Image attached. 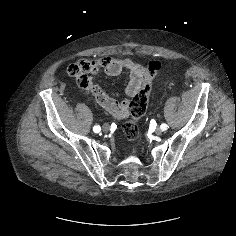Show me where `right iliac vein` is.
Returning <instances> with one entry per match:
<instances>
[{
	"mask_svg": "<svg viewBox=\"0 0 236 236\" xmlns=\"http://www.w3.org/2000/svg\"><path fill=\"white\" fill-rule=\"evenodd\" d=\"M102 129H103V131L108 132L110 130V125L105 123V124H103Z\"/></svg>",
	"mask_w": 236,
	"mask_h": 236,
	"instance_id": "63e3f726",
	"label": "right iliac vein"
}]
</instances>
